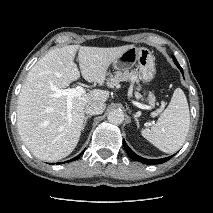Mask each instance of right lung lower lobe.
Instances as JSON below:
<instances>
[{"label": "right lung lower lobe", "mask_w": 213, "mask_h": 213, "mask_svg": "<svg viewBox=\"0 0 213 213\" xmlns=\"http://www.w3.org/2000/svg\"><path fill=\"white\" fill-rule=\"evenodd\" d=\"M83 152H84V151H82L77 157L73 158V159L70 160V161H74V160L78 159V158L80 157V155H81ZM70 161H67V162H70ZM57 164H59V163H57Z\"/></svg>", "instance_id": "right-lung-lower-lobe-1"}]
</instances>
